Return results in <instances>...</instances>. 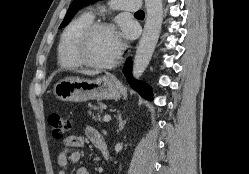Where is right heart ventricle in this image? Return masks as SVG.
<instances>
[{"instance_id": "right-heart-ventricle-1", "label": "right heart ventricle", "mask_w": 249, "mask_h": 174, "mask_svg": "<svg viewBox=\"0 0 249 174\" xmlns=\"http://www.w3.org/2000/svg\"><path fill=\"white\" fill-rule=\"evenodd\" d=\"M90 24H92V17L83 14L66 27L58 46V62L61 67L73 70L82 66L76 57L75 46L82 32Z\"/></svg>"}]
</instances>
